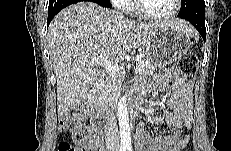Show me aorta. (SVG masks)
Returning <instances> with one entry per match:
<instances>
[{
	"instance_id": "obj_1",
	"label": "aorta",
	"mask_w": 231,
	"mask_h": 151,
	"mask_svg": "<svg viewBox=\"0 0 231 151\" xmlns=\"http://www.w3.org/2000/svg\"><path fill=\"white\" fill-rule=\"evenodd\" d=\"M118 122H119L121 142L123 144L130 145L131 136H130V126H129L126 96H123L118 103Z\"/></svg>"
}]
</instances>
